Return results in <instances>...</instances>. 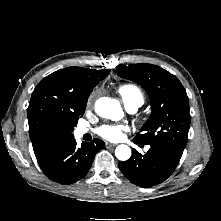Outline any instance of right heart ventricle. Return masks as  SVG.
<instances>
[{
    "mask_svg": "<svg viewBox=\"0 0 221 221\" xmlns=\"http://www.w3.org/2000/svg\"><path fill=\"white\" fill-rule=\"evenodd\" d=\"M118 92L126 105H137L139 107L145 101L142 90L134 84H123L118 88Z\"/></svg>",
    "mask_w": 221,
    "mask_h": 221,
    "instance_id": "e07e8e85",
    "label": "right heart ventricle"
}]
</instances>
